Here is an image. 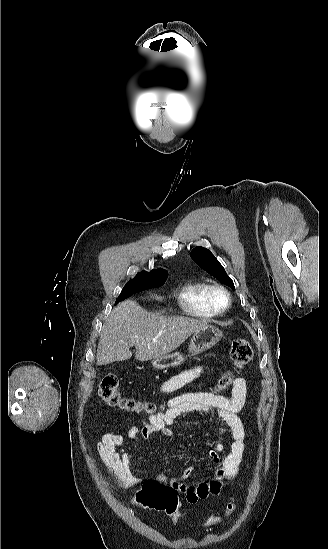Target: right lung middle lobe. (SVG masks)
Instances as JSON below:
<instances>
[{
    "instance_id": "obj_1",
    "label": "right lung middle lobe",
    "mask_w": 328,
    "mask_h": 549,
    "mask_svg": "<svg viewBox=\"0 0 328 549\" xmlns=\"http://www.w3.org/2000/svg\"><path fill=\"white\" fill-rule=\"evenodd\" d=\"M167 273L142 272L130 280L118 296L116 304L134 293L161 286L167 279Z\"/></svg>"
}]
</instances>
